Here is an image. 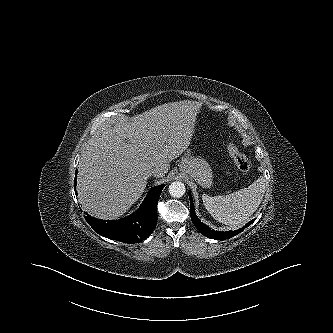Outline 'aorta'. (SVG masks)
Returning a JSON list of instances; mask_svg holds the SVG:
<instances>
[{"instance_id":"762f6f07","label":"aorta","mask_w":333,"mask_h":333,"mask_svg":"<svg viewBox=\"0 0 333 333\" xmlns=\"http://www.w3.org/2000/svg\"><path fill=\"white\" fill-rule=\"evenodd\" d=\"M186 191L185 185L182 182L174 181L169 185V193L174 198H180Z\"/></svg>"}]
</instances>
